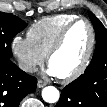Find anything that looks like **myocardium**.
Returning <instances> with one entry per match:
<instances>
[{
  "mask_svg": "<svg viewBox=\"0 0 107 107\" xmlns=\"http://www.w3.org/2000/svg\"><path fill=\"white\" fill-rule=\"evenodd\" d=\"M79 22H84L88 28H89V32H90V42H89V47L86 53V56L83 60V62L81 63V65L71 74L67 75V76H63V77H59L60 81L62 83H70L75 81L76 79H78L80 76H82L85 71L87 70V68L89 67L93 54H94V50H95V45H96V34H95V29L92 25V23L83 17H78L74 20H72L71 22H69L60 32V34L58 35L56 41L54 42V44L52 45V47L50 48V50L48 51L47 55H46V59L48 64H50V61L52 59V57L61 49V47L63 46L65 39L70 31V29L76 25Z\"/></svg>",
  "mask_w": 107,
  "mask_h": 107,
  "instance_id": "obj_1",
  "label": "myocardium"
}]
</instances>
